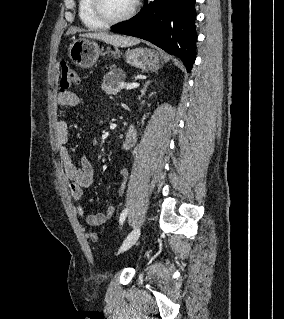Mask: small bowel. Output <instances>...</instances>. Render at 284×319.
<instances>
[{
	"label": "small bowel",
	"instance_id": "c3829d8e",
	"mask_svg": "<svg viewBox=\"0 0 284 319\" xmlns=\"http://www.w3.org/2000/svg\"><path fill=\"white\" fill-rule=\"evenodd\" d=\"M80 103V96L71 91L61 93L57 98V106L63 109L76 106ZM55 136L57 143L62 147L61 156L64 164V170L70 181V192L76 202L78 215L84 218L86 223L90 226H100L104 224L115 214L116 209L113 205L108 206L105 212L87 214L81 204L84 189L89 187L94 181L95 170L93 164L86 156L81 157L79 166L73 162L71 155L66 148L69 139V132L67 123L63 119H58L55 123ZM121 175L123 177V181L119 186V195H123L125 192L126 178L128 176L126 168L121 170Z\"/></svg>",
	"mask_w": 284,
	"mask_h": 319
}]
</instances>
